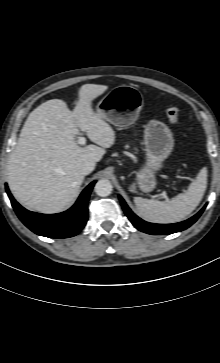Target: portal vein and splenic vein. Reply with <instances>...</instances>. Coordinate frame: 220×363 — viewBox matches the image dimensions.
<instances>
[{
  "instance_id": "1",
  "label": "portal vein and splenic vein",
  "mask_w": 220,
  "mask_h": 363,
  "mask_svg": "<svg viewBox=\"0 0 220 363\" xmlns=\"http://www.w3.org/2000/svg\"><path fill=\"white\" fill-rule=\"evenodd\" d=\"M77 143L80 145H84L86 143V138L85 137H79V139L77 140ZM162 198L167 199V196L165 193L162 194Z\"/></svg>"
}]
</instances>
